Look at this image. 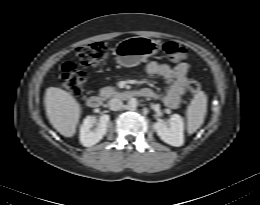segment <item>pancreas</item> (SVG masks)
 I'll return each instance as SVG.
<instances>
[{
  "label": "pancreas",
  "instance_id": "obj_1",
  "mask_svg": "<svg viewBox=\"0 0 260 205\" xmlns=\"http://www.w3.org/2000/svg\"><path fill=\"white\" fill-rule=\"evenodd\" d=\"M116 94H117L116 88L110 87V86L103 87L99 91V95L104 97V98H109V97L114 96Z\"/></svg>",
  "mask_w": 260,
  "mask_h": 205
}]
</instances>
